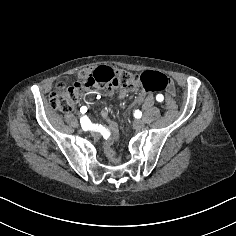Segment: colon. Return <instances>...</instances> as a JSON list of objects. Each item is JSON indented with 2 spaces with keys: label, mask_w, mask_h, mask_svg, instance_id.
<instances>
[{
  "label": "colon",
  "mask_w": 236,
  "mask_h": 236,
  "mask_svg": "<svg viewBox=\"0 0 236 236\" xmlns=\"http://www.w3.org/2000/svg\"><path fill=\"white\" fill-rule=\"evenodd\" d=\"M138 81L143 87V93L136 97L134 104L140 103L144 96L152 92L167 90L169 95L165 107L167 110L176 108L172 98L173 82L166 75L155 71H145L137 76L130 71L109 66L83 67L79 70L77 82L74 84L58 83L50 93V107L57 112H69L89 91L112 90L117 86H131Z\"/></svg>",
  "instance_id": "colon-1"
}]
</instances>
